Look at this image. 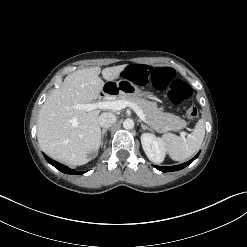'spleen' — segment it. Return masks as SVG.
<instances>
[{"label": "spleen", "instance_id": "spleen-1", "mask_svg": "<svg viewBox=\"0 0 247 247\" xmlns=\"http://www.w3.org/2000/svg\"><path fill=\"white\" fill-rule=\"evenodd\" d=\"M205 136V125L203 120H199L193 132L187 137H179L175 134H164L165 149L169 156L175 161H183L200 148Z\"/></svg>", "mask_w": 247, "mask_h": 247}]
</instances>
